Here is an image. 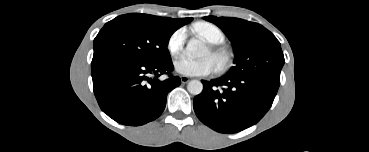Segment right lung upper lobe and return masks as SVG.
<instances>
[{
  "instance_id": "cb5924a9",
  "label": "right lung upper lobe",
  "mask_w": 369,
  "mask_h": 152,
  "mask_svg": "<svg viewBox=\"0 0 369 152\" xmlns=\"http://www.w3.org/2000/svg\"><path fill=\"white\" fill-rule=\"evenodd\" d=\"M133 14L134 16L145 19L147 21L165 24V25L171 26L176 29L192 21V18L173 19V18H168V17L153 16V15H148V14H140V13H133Z\"/></svg>"
}]
</instances>
